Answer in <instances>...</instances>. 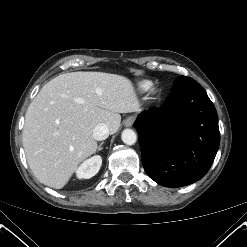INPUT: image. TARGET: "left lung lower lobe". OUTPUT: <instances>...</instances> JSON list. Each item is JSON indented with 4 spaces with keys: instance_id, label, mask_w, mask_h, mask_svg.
Instances as JSON below:
<instances>
[{
    "instance_id": "1",
    "label": "left lung lower lobe",
    "mask_w": 247,
    "mask_h": 247,
    "mask_svg": "<svg viewBox=\"0 0 247 247\" xmlns=\"http://www.w3.org/2000/svg\"><path fill=\"white\" fill-rule=\"evenodd\" d=\"M134 127L146 173L166 187L186 186L201 179L220 143L216 109L193 79L175 82L165 104L143 111Z\"/></svg>"
}]
</instances>
